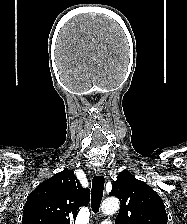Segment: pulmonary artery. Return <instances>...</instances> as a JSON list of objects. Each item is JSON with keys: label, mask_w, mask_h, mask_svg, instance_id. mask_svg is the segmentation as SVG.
Returning <instances> with one entry per match:
<instances>
[{"label": "pulmonary artery", "mask_w": 187, "mask_h": 224, "mask_svg": "<svg viewBox=\"0 0 187 224\" xmlns=\"http://www.w3.org/2000/svg\"><path fill=\"white\" fill-rule=\"evenodd\" d=\"M101 224H113L110 220H105Z\"/></svg>", "instance_id": "1"}]
</instances>
